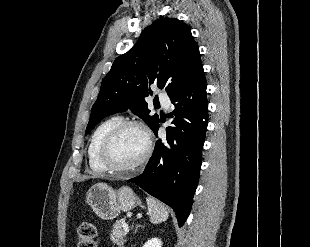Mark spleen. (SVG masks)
Wrapping results in <instances>:
<instances>
[{
	"mask_svg": "<svg viewBox=\"0 0 310 247\" xmlns=\"http://www.w3.org/2000/svg\"><path fill=\"white\" fill-rule=\"evenodd\" d=\"M147 205L151 223L159 224L167 220L169 214L164 204L152 197H148Z\"/></svg>",
	"mask_w": 310,
	"mask_h": 247,
	"instance_id": "3e777b00",
	"label": "spleen"
}]
</instances>
